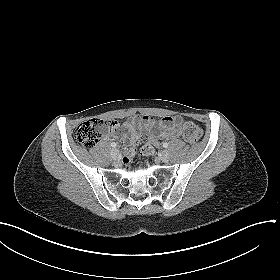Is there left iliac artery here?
I'll return each instance as SVG.
<instances>
[{
  "instance_id": "left-iliac-artery-1",
  "label": "left iliac artery",
  "mask_w": 280,
  "mask_h": 280,
  "mask_svg": "<svg viewBox=\"0 0 280 280\" xmlns=\"http://www.w3.org/2000/svg\"><path fill=\"white\" fill-rule=\"evenodd\" d=\"M163 147L167 148L168 147V143L167 142L163 143Z\"/></svg>"
}]
</instances>
